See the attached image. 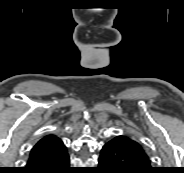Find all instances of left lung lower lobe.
Returning <instances> with one entry per match:
<instances>
[{
  "label": "left lung lower lobe",
  "instance_id": "0a47b994",
  "mask_svg": "<svg viewBox=\"0 0 184 173\" xmlns=\"http://www.w3.org/2000/svg\"><path fill=\"white\" fill-rule=\"evenodd\" d=\"M129 137L119 135L108 141L101 150L99 157L100 173H155L131 149Z\"/></svg>",
  "mask_w": 184,
  "mask_h": 173
}]
</instances>
